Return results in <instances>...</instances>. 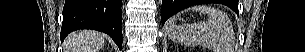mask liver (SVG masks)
Here are the masks:
<instances>
[{
	"instance_id": "1",
	"label": "liver",
	"mask_w": 305,
	"mask_h": 52,
	"mask_svg": "<svg viewBox=\"0 0 305 52\" xmlns=\"http://www.w3.org/2000/svg\"><path fill=\"white\" fill-rule=\"evenodd\" d=\"M104 42V36L97 31H78L67 38L65 50L66 52H98Z\"/></svg>"
}]
</instances>
